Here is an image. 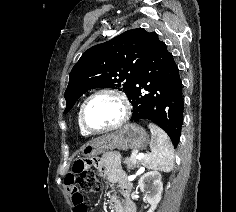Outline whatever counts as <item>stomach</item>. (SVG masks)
<instances>
[{
    "mask_svg": "<svg viewBox=\"0 0 236 212\" xmlns=\"http://www.w3.org/2000/svg\"><path fill=\"white\" fill-rule=\"evenodd\" d=\"M149 137L146 131L137 124H127L114 133L96 138L81 149L85 157H94L105 151L145 149L148 145Z\"/></svg>",
    "mask_w": 236,
    "mask_h": 212,
    "instance_id": "stomach-1",
    "label": "stomach"
}]
</instances>
